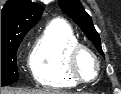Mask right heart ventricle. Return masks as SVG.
<instances>
[{"instance_id":"obj_1","label":"right heart ventricle","mask_w":121,"mask_h":94,"mask_svg":"<svg viewBox=\"0 0 121 94\" xmlns=\"http://www.w3.org/2000/svg\"><path fill=\"white\" fill-rule=\"evenodd\" d=\"M78 43L77 35L67 22H49L37 37L29 58V69L35 82L48 89L75 87L76 82L67 69V56Z\"/></svg>"}]
</instances>
